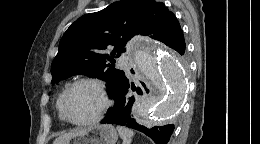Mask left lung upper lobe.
I'll return each mask as SVG.
<instances>
[{"label":"left lung upper lobe","mask_w":260,"mask_h":144,"mask_svg":"<svg viewBox=\"0 0 260 144\" xmlns=\"http://www.w3.org/2000/svg\"><path fill=\"white\" fill-rule=\"evenodd\" d=\"M181 30L175 15L155 0H120L105 9L86 14L70 25L60 40L51 64L52 83L73 75H86L107 82L113 97L126 78L114 69L128 41L145 35L167 44ZM113 46L108 54L106 49Z\"/></svg>","instance_id":"1"}]
</instances>
